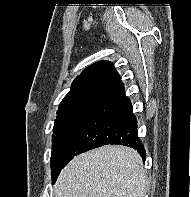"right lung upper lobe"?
<instances>
[{
    "instance_id": "1",
    "label": "right lung upper lobe",
    "mask_w": 191,
    "mask_h": 197,
    "mask_svg": "<svg viewBox=\"0 0 191 197\" xmlns=\"http://www.w3.org/2000/svg\"><path fill=\"white\" fill-rule=\"evenodd\" d=\"M122 85L120 75L111 62H96L73 81L70 92L59 105L57 114L79 108H93Z\"/></svg>"
}]
</instances>
